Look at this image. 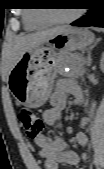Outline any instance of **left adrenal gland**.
I'll list each match as a JSON object with an SVG mask.
<instances>
[{
	"instance_id": "1",
	"label": "left adrenal gland",
	"mask_w": 104,
	"mask_h": 169,
	"mask_svg": "<svg viewBox=\"0 0 104 169\" xmlns=\"http://www.w3.org/2000/svg\"><path fill=\"white\" fill-rule=\"evenodd\" d=\"M98 41L99 40H97L95 43H94V45H92L90 48H89V50H88V55H87V58H86V64L88 65V66H90L91 65V50L95 47V45L98 43Z\"/></svg>"
}]
</instances>
